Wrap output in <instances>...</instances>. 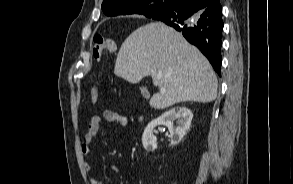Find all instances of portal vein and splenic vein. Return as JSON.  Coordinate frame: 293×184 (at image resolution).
I'll return each mask as SVG.
<instances>
[{"label":"portal vein and splenic vein","mask_w":293,"mask_h":184,"mask_svg":"<svg viewBox=\"0 0 293 184\" xmlns=\"http://www.w3.org/2000/svg\"><path fill=\"white\" fill-rule=\"evenodd\" d=\"M158 77H160V75H159ZM160 91H161V92H163V93H164V92H166V90H165V89H161Z\"/></svg>","instance_id":"1"}]
</instances>
